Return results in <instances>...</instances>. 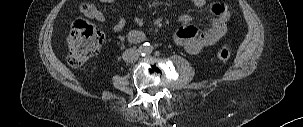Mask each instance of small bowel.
I'll return each mask as SVG.
<instances>
[{
  "label": "small bowel",
  "mask_w": 303,
  "mask_h": 127,
  "mask_svg": "<svg viewBox=\"0 0 303 127\" xmlns=\"http://www.w3.org/2000/svg\"><path fill=\"white\" fill-rule=\"evenodd\" d=\"M104 3H110L115 0H100ZM88 15L90 18L104 23L106 22V16L97 7H92ZM229 14L227 11L223 10L219 12V17L212 18L210 20V27L206 31H199L194 25H186L181 29L179 35V41L184 46V48L190 53L199 52L205 45L210 44L218 40L225 32V20L228 18ZM138 23H141L140 18H136ZM126 26V20L124 18L117 19L112 24V30L114 32H121ZM145 34L140 29H133L128 33L129 41L133 43H139L143 41Z\"/></svg>",
  "instance_id": "1"
}]
</instances>
